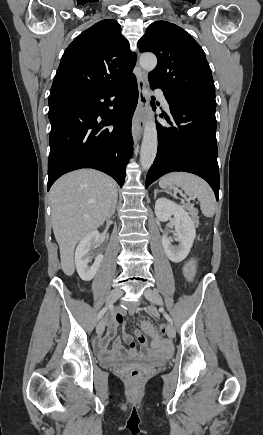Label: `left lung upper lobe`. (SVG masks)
<instances>
[{
  "label": "left lung upper lobe",
  "mask_w": 263,
  "mask_h": 435,
  "mask_svg": "<svg viewBox=\"0 0 263 435\" xmlns=\"http://www.w3.org/2000/svg\"><path fill=\"white\" fill-rule=\"evenodd\" d=\"M140 52L158 59L150 85L179 101L216 108L211 69L201 46L181 27L167 21L151 23L138 41Z\"/></svg>",
  "instance_id": "5c2ea615"
}]
</instances>
